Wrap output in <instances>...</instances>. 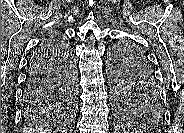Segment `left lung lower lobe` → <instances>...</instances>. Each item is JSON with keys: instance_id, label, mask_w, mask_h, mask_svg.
I'll return each instance as SVG.
<instances>
[{"instance_id": "obj_1", "label": "left lung lower lobe", "mask_w": 184, "mask_h": 133, "mask_svg": "<svg viewBox=\"0 0 184 133\" xmlns=\"http://www.w3.org/2000/svg\"><path fill=\"white\" fill-rule=\"evenodd\" d=\"M137 87L140 90H149L151 92L155 91L157 94H159V90H158V87L157 86H151L148 83H146L145 81H141V82L139 81V82H137ZM135 123H137V122H135Z\"/></svg>"}]
</instances>
